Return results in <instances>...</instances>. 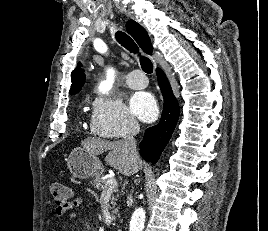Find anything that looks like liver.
<instances>
[{"mask_svg": "<svg viewBox=\"0 0 268 231\" xmlns=\"http://www.w3.org/2000/svg\"><path fill=\"white\" fill-rule=\"evenodd\" d=\"M81 145L94 155L109 151L105 157V162L125 176L135 174L142 167L140 160L135 163L131 161L129 153L124 146V141L110 142L100 138L90 137L82 141Z\"/></svg>", "mask_w": 268, "mask_h": 231, "instance_id": "6515ba94", "label": "liver"}]
</instances>
